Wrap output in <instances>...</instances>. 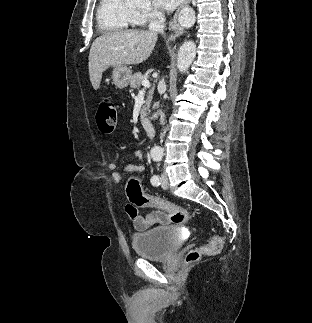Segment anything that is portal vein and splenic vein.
<instances>
[{
    "mask_svg": "<svg viewBox=\"0 0 312 323\" xmlns=\"http://www.w3.org/2000/svg\"><path fill=\"white\" fill-rule=\"evenodd\" d=\"M142 86H144V90H140L139 94H144L146 88H150L149 80H143Z\"/></svg>",
    "mask_w": 312,
    "mask_h": 323,
    "instance_id": "obj_1",
    "label": "portal vein and splenic vein"
}]
</instances>
